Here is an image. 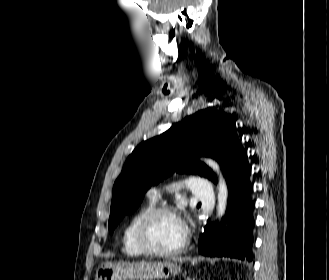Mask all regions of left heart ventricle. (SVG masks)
I'll return each instance as SVG.
<instances>
[{"label":"left heart ventricle","instance_id":"1","mask_svg":"<svg viewBox=\"0 0 329 280\" xmlns=\"http://www.w3.org/2000/svg\"><path fill=\"white\" fill-rule=\"evenodd\" d=\"M149 235L157 248L171 249L182 242L185 234L177 216L162 214L152 222Z\"/></svg>","mask_w":329,"mask_h":280}]
</instances>
